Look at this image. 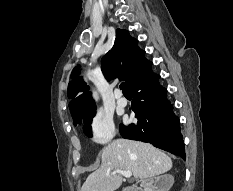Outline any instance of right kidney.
Instances as JSON below:
<instances>
[{
	"label": "right kidney",
	"instance_id": "right-kidney-1",
	"mask_svg": "<svg viewBox=\"0 0 233 191\" xmlns=\"http://www.w3.org/2000/svg\"><path fill=\"white\" fill-rule=\"evenodd\" d=\"M174 183V177L171 174H164L155 178L147 184V191H169Z\"/></svg>",
	"mask_w": 233,
	"mask_h": 191
}]
</instances>
